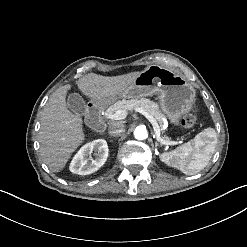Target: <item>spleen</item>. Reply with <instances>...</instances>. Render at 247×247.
<instances>
[{"mask_svg": "<svg viewBox=\"0 0 247 247\" xmlns=\"http://www.w3.org/2000/svg\"><path fill=\"white\" fill-rule=\"evenodd\" d=\"M218 137L212 127L203 129L191 144L179 147L161 156L162 161L178 168L186 175H194L204 169L215 150Z\"/></svg>", "mask_w": 247, "mask_h": 247, "instance_id": "obj_1", "label": "spleen"}]
</instances>
